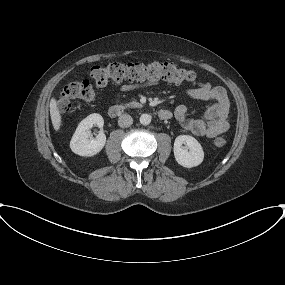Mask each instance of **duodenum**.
Segmentation results:
<instances>
[{
  "mask_svg": "<svg viewBox=\"0 0 285 285\" xmlns=\"http://www.w3.org/2000/svg\"><path fill=\"white\" fill-rule=\"evenodd\" d=\"M125 111H126V107L124 105L114 104L108 108L107 112H108L109 117L117 118V117H120L121 115H123L125 113ZM158 116L162 120H167L172 116V114L167 109H160L158 111Z\"/></svg>",
  "mask_w": 285,
  "mask_h": 285,
  "instance_id": "obj_1",
  "label": "duodenum"
}]
</instances>
